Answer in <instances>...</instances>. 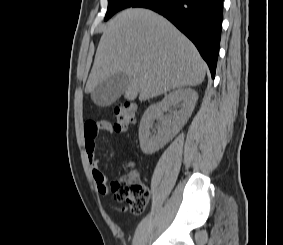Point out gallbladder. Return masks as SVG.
Returning <instances> with one entry per match:
<instances>
[{"mask_svg":"<svg viewBox=\"0 0 283 245\" xmlns=\"http://www.w3.org/2000/svg\"><path fill=\"white\" fill-rule=\"evenodd\" d=\"M129 83V77L123 72L111 75L94 88L91 99L98 106H109L119 99Z\"/></svg>","mask_w":283,"mask_h":245,"instance_id":"gallbladder-1","label":"gallbladder"}]
</instances>
